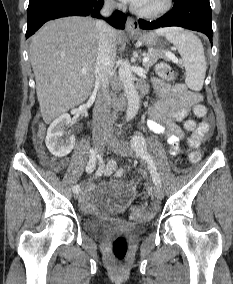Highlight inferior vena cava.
Wrapping results in <instances>:
<instances>
[{
  "label": "inferior vena cava",
  "instance_id": "inferior-vena-cava-1",
  "mask_svg": "<svg viewBox=\"0 0 233 284\" xmlns=\"http://www.w3.org/2000/svg\"><path fill=\"white\" fill-rule=\"evenodd\" d=\"M114 8L113 0H105L101 14L109 16ZM96 29L98 31V55L95 65L97 100L93 110V127L97 132L112 133L114 121L110 110L109 81L115 63L116 42L113 29L103 20L96 21Z\"/></svg>",
  "mask_w": 233,
  "mask_h": 284
}]
</instances>
